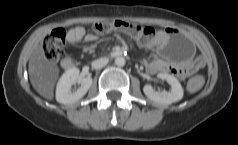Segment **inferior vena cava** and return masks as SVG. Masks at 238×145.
Wrapping results in <instances>:
<instances>
[{
	"instance_id": "obj_1",
	"label": "inferior vena cava",
	"mask_w": 238,
	"mask_h": 145,
	"mask_svg": "<svg viewBox=\"0 0 238 145\" xmlns=\"http://www.w3.org/2000/svg\"><path fill=\"white\" fill-rule=\"evenodd\" d=\"M108 62H109L108 58H99L92 62V68L101 69L104 66H106Z\"/></svg>"
}]
</instances>
